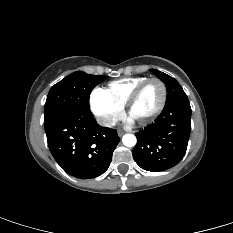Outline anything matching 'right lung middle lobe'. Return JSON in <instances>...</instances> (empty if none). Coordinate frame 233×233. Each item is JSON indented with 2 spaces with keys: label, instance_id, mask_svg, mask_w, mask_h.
I'll return each instance as SVG.
<instances>
[{
  "label": "right lung middle lobe",
  "instance_id": "dd1d6c3e",
  "mask_svg": "<svg viewBox=\"0 0 233 233\" xmlns=\"http://www.w3.org/2000/svg\"><path fill=\"white\" fill-rule=\"evenodd\" d=\"M107 78L77 71L56 83L47 96L44 121L69 110L89 109L91 91Z\"/></svg>",
  "mask_w": 233,
  "mask_h": 233
}]
</instances>
